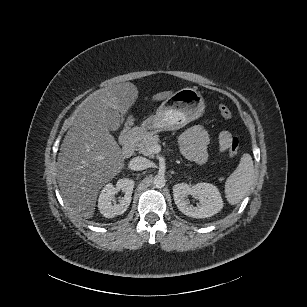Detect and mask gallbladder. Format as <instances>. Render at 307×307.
<instances>
[{
	"mask_svg": "<svg viewBox=\"0 0 307 307\" xmlns=\"http://www.w3.org/2000/svg\"><path fill=\"white\" fill-rule=\"evenodd\" d=\"M105 116L107 120V129H109L112 134H115L122 125L121 120L113 113L112 109L106 111Z\"/></svg>",
	"mask_w": 307,
	"mask_h": 307,
	"instance_id": "obj_1",
	"label": "gallbladder"
}]
</instances>
